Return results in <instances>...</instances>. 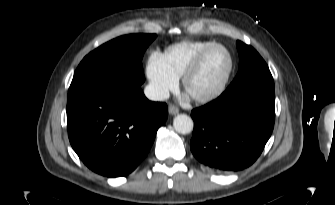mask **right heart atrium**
<instances>
[{
	"instance_id": "d8ad5b80",
	"label": "right heart atrium",
	"mask_w": 335,
	"mask_h": 205,
	"mask_svg": "<svg viewBox=\"0 0 335 205\" xmlns=\"http://www.w3.org/2000/svg\"><path fill=\"white\" fill-rule=\"evenodd\" d=\"M145 74L150 94L157 100L165 98L178 82V77L169 70L163 55L159 52L150 54L146 63Z\"/></svg>"
}]
</instances>
